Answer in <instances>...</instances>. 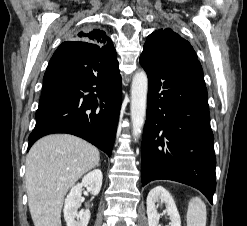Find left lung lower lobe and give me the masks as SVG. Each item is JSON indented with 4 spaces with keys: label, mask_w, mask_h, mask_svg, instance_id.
<instances>
[{
    "label": "left lung lower lobe",
    "mask_w": 247,
    "mask_h": 226,
    "mask_svg": "<svg viewBox=\"0 0 247 226\" xmlns=\"http://www.w3.org/2000/svg\"><path fill=\"white\" fill-rule=\"evenodd\" d=\"M139 61L149 81L142 185L157 179L177 181L197 188L212 204L216 158L200 62L171 61L144 53Z\"/></svg>",
    "instance_id": "left-lung-lower-lobe-1"
}]
</instances>
